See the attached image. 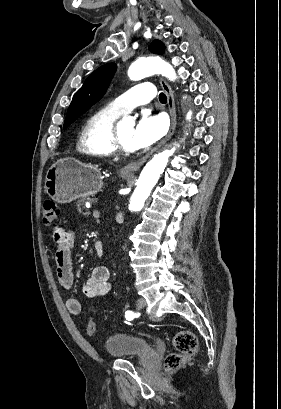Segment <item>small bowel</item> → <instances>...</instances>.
<instances>
[{"mask_svg": "<svg viewBox=\"0 0 281 409\" xmlns=\"http://www.w3.org/2000/svg\"><path fill=\"white\" fill-rule=\"evenodd\" d=\"M55 243L56 274L59 284L63 290H70L73 286V259L72 248L74 244V233L63 227H56L53 231ZM94 250L98 256L104 254L102 242H94ZM112 289L111 272L106 266L93 268L89 278L84 285V292L88 297H100L107 295ZM66 308L72 315L81 314V306L76 298L66 299Z\"/></svg>", "mask_w": 281, "mask_h": 409, "instance_id": "c3829d8e", "label": "small bowel"}]
</instances>
